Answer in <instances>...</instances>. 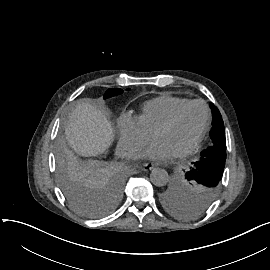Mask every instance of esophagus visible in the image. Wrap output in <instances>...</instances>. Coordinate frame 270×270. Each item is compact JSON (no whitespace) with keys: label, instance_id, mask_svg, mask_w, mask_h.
<instances>
[{"label":"esophagus","instance_id":"esophagus-1","mask_svg":"<svg viewBox=\"0 0 270 270\" xmlns=\"http://www.w3.org/2000/svg\"><path fill=\"white\" fill-rule=\"evenodd\" d=\"M154 168V164L153 163H145L142 165L141 169L145 172L150 171Z\"/></svg>","mask_w":270,"mask_h":270}]
</instances>
